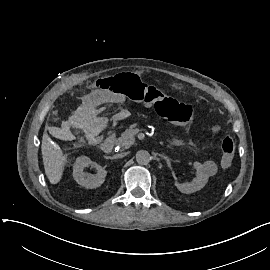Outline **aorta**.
<instances>
[{
    "mask_svg": "<svg viewBox=\"0 0 270 270\" xmlns=\"http://www.w3.org/2000/svg\"><path fill=\"white\" fill-rule=\"evenodd\" d=\"M136 161L140 165H146L150 162V154L146 150H140L136 153Z\"/></svg>",
    "mask_w": 270,
    "mask_h": 270,
    "instance_id": "1",
    "label": "aorta"
}]
</instances>
